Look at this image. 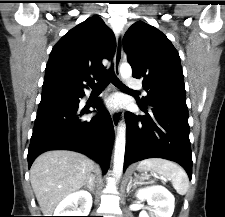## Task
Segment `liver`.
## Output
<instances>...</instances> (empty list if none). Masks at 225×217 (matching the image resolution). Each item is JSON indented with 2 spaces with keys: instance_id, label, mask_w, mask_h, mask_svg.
Instances as JSON below:
<instances>
[{
  "instance_id": "obj_1",
  "label": "liver",
  "mask_w": 225,
  "mask_h": 217,
  "mask_svg": "<svg viewBox=\"0 0 225 217\" xmlns=\"http://www.w3.org/2000/svg\"><path fill=\"white\" fill-rule=\"evenodd\" d=\"M99 171L87 156L67 150L38 156L30 169V181L44 216H52L61 200L81 189Z\"/></svg>"
}]
</instances>
